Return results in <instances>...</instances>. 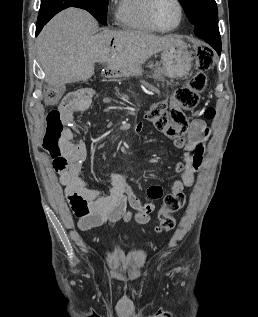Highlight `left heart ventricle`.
Segmentation results:
<instances>
[{
  "label": "left heart ventricle",
  "mask_w": 258,
  "mask_h": 317,
  "mask_svg": "<svg viewBox=\"0 0 258 317\" xmlns=\"http://www.w3.org/2000/svg\"><path fill=\"white\" fill-rule=\"evenodd\" d=\"M179 10L175 0H159L153 8V17L162 28L173 26L178 19Z\"/></svg>",
  "instance_id": "left-heart-ventricle-1"
}]
</instances>
